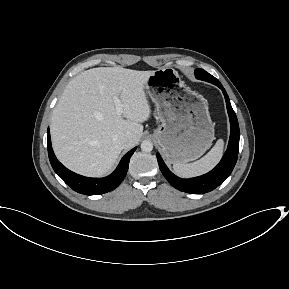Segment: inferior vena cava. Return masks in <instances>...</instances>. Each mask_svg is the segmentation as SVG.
<instances>
[{
    "label": "inferior vena cava",
    "instance_id": "inferior-vena-cava-1",
    "mask_svg": "<svg viewBox=\"0 0 289 289\" xmlns=\"http://www.w3.org/2000/svg\"><path fill=\"white\" fill-rule=\"evenodd\" d=\"M128 142V138L123 136V137H120L118 140H117V143L120 147L124 148L126 146Z\"/></svg>",
    "mask_w": 289,
    "mask_h": 289
}]
</instances>
